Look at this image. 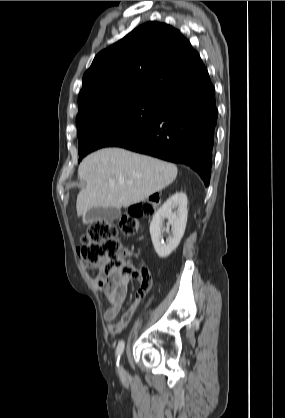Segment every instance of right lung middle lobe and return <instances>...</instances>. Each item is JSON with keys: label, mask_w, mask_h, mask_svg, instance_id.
<instances>
[{"label": "right lung middle lobe", "mask_w": 285, "mask_h": 418, "mask_svg": "<svg viewBox=\"0 0 285 418\" xmlns=\"http://www.w3.org/2000/svg\"><path fill=\"white\" fill-rule=\"evenodd\" d=\"M161 108L162 104L136 101L107 107L76 122L79 161L92 151L134 136L158 117Z\"/></svg>", "instance_id": "dd1d6c3e"}]
</instances>
